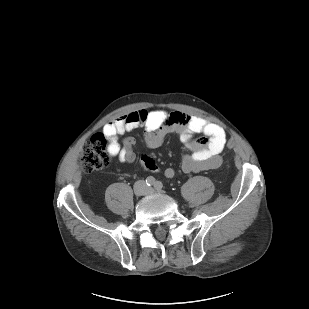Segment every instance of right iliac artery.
Returning <instances> with one entry per match:
<instances>
[{"label": "right iliac artery", "mask_w": 309, "mask_h": 309, "mask_svg": "<svg viewBox=\"0 0 309 309\" xmlns=\"http://www.w3.org/2000/svg\"><path fill=\"white\" fill-rule=\"evenodd\" d=\"M155 182H156V181H155V178L152 177V176H150V177H148V178L146 179V184H147L148 186L154 185Z\"/></svg>", "instance_id": "obj_1"}]
</instances>
